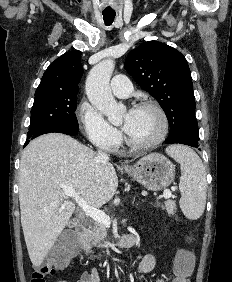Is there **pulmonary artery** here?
Segmentation results:
<instances>
[{"label": "pulmonary artery", "mask_w": 232, "mask_h": 282, "mask_svg": "<svg viewBox=\"0 0 232 282\" xmlns=\"http://www.w3.org/2000/svg\"><path fill=\"white\" fill-rule=\"evenodd\" d=\"M112 93L118 98L129 97L132 92L130 80L125 75H116L113 77L111 84Z\"/></svg>", "instance_id": "obj_1"}]
</instances>
